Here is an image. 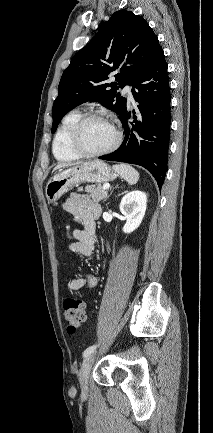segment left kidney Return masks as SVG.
<instances>
[{"mask_svg":"<svg viewBox=\"0 0 213 433\" xmlns=\"http://www.w3.org/2000/svg\"><path fill=\"white\" fill-rule=\"evenodd\" d=\"M146 208L147 196L142 191L129 192L122 198L120 211L126 218V224L123 227L124 233H131L140 226Z\"/></svg>","mask_w":213,"mask_h":433,"instance_id":"1","label":"left kidney"}]
</instances>
